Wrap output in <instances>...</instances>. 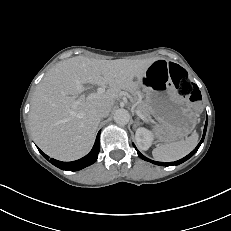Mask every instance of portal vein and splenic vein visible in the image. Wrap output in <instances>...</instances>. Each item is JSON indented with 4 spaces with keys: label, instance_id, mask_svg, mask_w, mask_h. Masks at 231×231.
<instances>
[{
    "label": "portal vein and splenic vein",
    "instance_id": "1",
    "mask_svg": "<svg viewBox=\"0 0 231 231\" xmlns=\"http://www.w3.org/2000/svg\"><path fill=\"white\" fill-rule=\"evenodd\" d=\"M104 92H105V88H104V87H99V88L97 89V93L91 95V98L100 96V95H102ZM136 113H137V115H138L141 119L146 120V118H145L138 110L136 111Z\"/></svg>",
    "mask_w": 231,
    "mask_h": 231
}]
</instances>
